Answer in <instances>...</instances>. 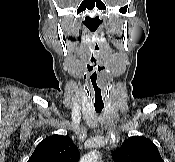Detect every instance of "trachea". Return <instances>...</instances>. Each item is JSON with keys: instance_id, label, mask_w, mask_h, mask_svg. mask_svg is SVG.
Here are the masks:
<instances>
[{"instance_id": "trachea-1", "label": "trachea", "mask_w": 175, "mask_h": 162, "mask_svg": "<svg viewBox=\"0 0 175 162\" xmlns=\"http://www.w3.org/2000/svg\"><path fill=\"white\" fill-rule=\"evenodd\" d=\"M102 109H103V107H95V111L97 113H101Z\"/></svg>"}]
</instances>
